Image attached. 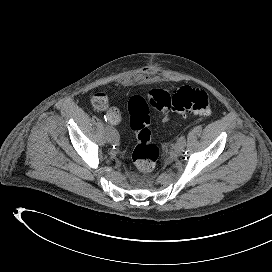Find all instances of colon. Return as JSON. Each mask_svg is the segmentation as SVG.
<instances>
[{"label":"colon","instance_id":"1","mask_svg":"<svg viewBox=\"0 0 272 272\" xmlns=\"http://www.w3.org/2000/svg\"><path fill=\"white\" fill-rule=\"evenodd\" d=\"M212 103L211 97L204 90L191 86H182L176 91L155 89L146 97L140 95L130 97L129 125L136 137V146L132 152L135 167L143 173L151 172L159 158V148L151 140L150 108L208 116Z\"/></svg>","mask_w":272,"mask_h":272}]
</instances>
